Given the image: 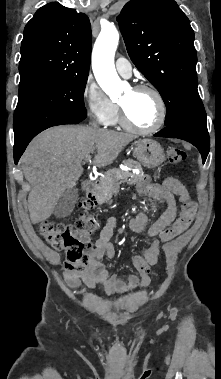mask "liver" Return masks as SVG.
<instances>
[{
	"instance_id": "1",
	"label": "liver",
	"mask_w": 221,
	"mask_h": 379,
	"mask_svg": "<svg viewBox=\"0 0 221 379\" xmlns=\"http://www.w3.org/2000/svg\"><path fill=\"white\" fill-rule=\"evenodd\" d=\"M135 137L91 127L60 126L39 134L27 147L21 163L32 189L28 196L31 222L48 219L62 193L73 188L83 173L82 164L95 153L93 164H112Z\"/></svg>"
}]
</instances>
